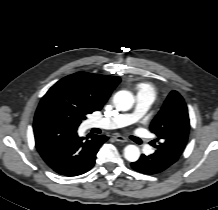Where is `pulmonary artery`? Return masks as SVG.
I'll return each mask as SVG.
<instances>
[{"label":"pulmonary artery","mask_w":218,"mask_h":210,"mask_svg":"<svg viewBox=\"0 0 218 210\" xmlns=\"http://www.w3.org/2000/svg\"><path fill=\"white\" fill-rule=\"evenodd\" d=\"M154 101V92L149 87H142L136 97V107L130 113H123L109 118H93L87 123L88 128L114 129L121 128L135 123L151 107ZM145 150H149V144L144 145Z\"/></svg>","instance_id":"pulmonary-artery-1"}]
</instances>
